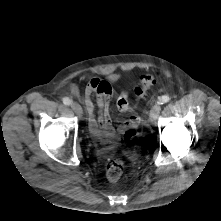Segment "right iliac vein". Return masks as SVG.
<instances>
[{
	"label": "right iliac vein",
	"instance_id": "1",
	"mask_svg": "<svg viewBox=\"0 0 221 221\" xmlns=\"http://www.w3.org/2000/svg\"><path fill=\"white\" fill-rule=\"evenodd\" d=\"M73 111L78 115V116H82L83 114V110L82 107L78 104V103H73L71 105Z\"/></svg>",
	"mask_w": 221,
	"mask_h": 221
}]
</instances>
